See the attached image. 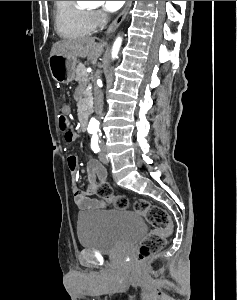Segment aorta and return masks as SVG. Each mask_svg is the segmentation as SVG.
I'll return each instance as SVG.
<instances>
[{"mask_svg":"<svg viewBox=\"0 0 237 300\" xmlns=\"http://www.w3.org/2000/svg\"><path fill=\"white\" fill-rule=\"evenodd\" d=\"M121 43H122V39L121 37H117L113 47H112V59H116L117 55H118V51L121 47ZM88 127H99V123L98 121H96V119H90V123L88 125Z\"/></svg>","mask_w":237,"mask_h":300,"instance_id":"aorta-1","label":"aorta"}]
</instances>
